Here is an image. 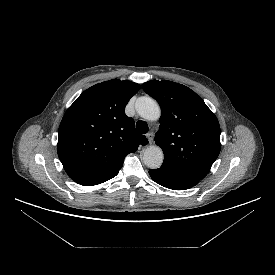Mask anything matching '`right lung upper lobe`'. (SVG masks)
Instances as JSON below:
<instances>
[{"instance_id": "1", "label": "right lung upper lobe", "mask_w": 275, "mask_h": 275, "mask_svg": "<svg viewBox=\"0 0 275 275\" xmlns=\"http://www.w3.org/2000/svg\"><path fill=\"white\" fill-rule=\"evenodd\" d=\"M140 85L113 79L85 90L64 114L57 151L67 174L92 186L115 177L124 158L148 143L138 134L125 107Z\"/></svg>"}]
</instances>
